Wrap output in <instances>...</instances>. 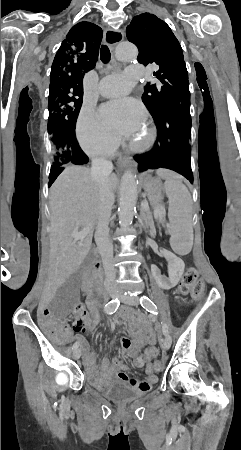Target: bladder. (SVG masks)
<instances>
[{"label":"bladder","mask_w":241,"mask_h":450,"mask_svg":"<svg viewBox=\"0 0 241 450\" xmlns=\"http://www.w3.org/2000/svg\"><path fill=\"white\" fill-rule=\"evenodd\" d=\"M104 395L114 402L125 403L141 396V393L123 382H115L103 391Z\"/></svg>","instance_id":"31cf9c89"}]
</instances>
